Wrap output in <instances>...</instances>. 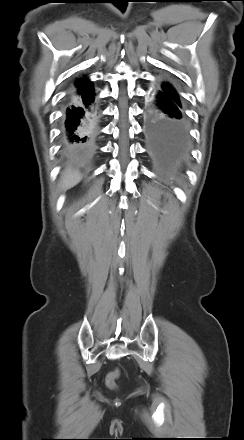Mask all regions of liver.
<instances>
[{
    "instance_id": "liver-1",
    "label": "liver",
    "mask_w": 244,
    "mask_h": 440,
    "mask_svg": "<svg viewBox=\"0 0 244 440\" xmlns=\"http://www.w3.org/2000/svg\"><path fill=\"white\" fill-rule=\"evenodd\" d=\"M82 179V175L71 168H66L61 180V188L62 190H67L74 187L76 184L80 182Z\"/></svg>"
}]
</instances>
